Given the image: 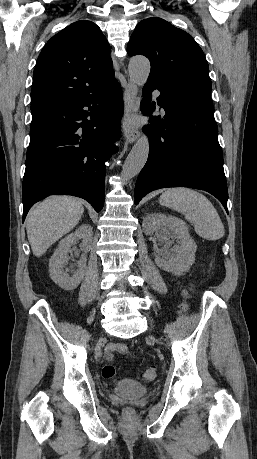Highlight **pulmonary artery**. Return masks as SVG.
I'll return each instance as SVG.
<instances>
[{"label":"pulmonary artery","mask_w":257,"mask_h":459,"mask_svg":"<svg viewBox=\"0 0 257 459\" xmlns=\"http://www.w3.org/2000/svg\"><path fill=\"white\" fill-rule=\"evenodd\" d=\"M154 96H155L156 98H159L160 93H159L158 91H155V92H154Z\"/></svg>","instance_id":"e3ab8cb5"}]
</instances>
